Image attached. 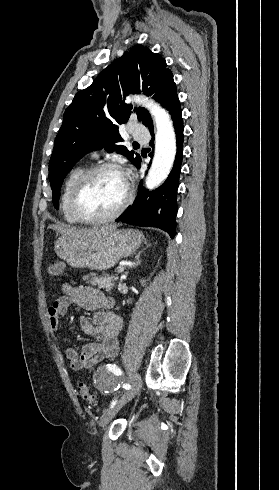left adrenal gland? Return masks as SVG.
I'll list each match as a JSON object with an SVG mask.
<instances>
[{
  "instance_id": "a2214340",
  "label": "left adrenal gland",
  "mask_w": 279,
  "mask_h": 490,
  "mask_svg": "<svg viewBox=\"0 0 279 490\" xmlns=\"http://www.w3.org/2000/svg\"><path fill=\"white\" fill-rule=\"evenodd\" d=\"M149 246H151V244H147L146 248H149ZM146 248H144V250H146ZM144 250H142V252H144ZM142 252H138L137 256H135V262H139ZM135 262L133 266H135ZM129 268H132V266H129Z\"/></svg>"
}]
</instances>
